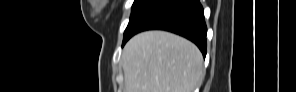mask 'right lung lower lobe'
<instances>
[{"label": "right lung lower lobe", "mask_w": 296, "mask_h": 92, "mask_svg": "<svg viewBox=\"0 0 296 92\" xmlns=\"http://www.w3.org/2000/svg\"><path fill=\"white\" fill-rule=\"evenodd\" d=\"M161 29L181 35L194 42L206 55L207 27L199 0H155L136 20L123 44L138 32Z\"/></svg>", "instance_id": "1"}]
</instances>
